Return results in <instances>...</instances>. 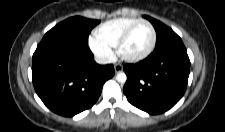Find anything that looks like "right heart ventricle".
<instances>
[{"instance_id": "right-heart-ventricle-1", "label": "right heart ventricle", "mask_w": 225, "mask_h": 132, "mask_svg": "<svg viewBox=\"0 0 225 132\" xmlns=\"http://www.w3.org/2000/svg\"><path fill=\"white\" fill-rule=\"evenodd\" d=\"M136 20L138 19L121 17L106 21L96 28L94 33L95 38L113 48L117 45V42L125 29Z\"/></svg>"}]
</instances>
